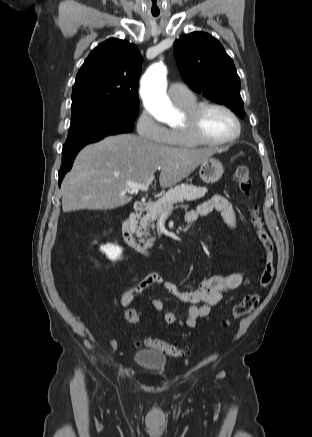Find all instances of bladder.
Returning a JSON list of instances; mask_svg holds the SVG:
<instances>
[{
	"label": "bladder",
	"instance_id": "obj_1",
	"mask_svg": "<svg viewBox=\"0 0 312 437\" xmlns=\"http://www.w3.org/2000/svg\"><path fill=\"white\" fill-rule=\"evenodd\" d=\"M134 362L142 369L153 373H160L166 365V356L154 349L139 350L134 356Z\"/></svg>",
	"mask_w": 312,
	"mask_h": 437
}]
</instances>
